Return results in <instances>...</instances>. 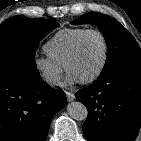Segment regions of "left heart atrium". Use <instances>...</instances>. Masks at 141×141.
<instances>
[{
	"label": "left heart atrium",
	"mask_w": 141,
	"mask_h": 141,
	"mask_svg": "<svg viewBox=\"0 0 141 141\" xmlns=\"http://www.w3.org/2000/svg\"><path fill=\"white\" fill-rule=\"evenodd\" d=\"M80 81L81 80L79 79V77L76 74H74L73 72H68L66 79H65V85H73Z\"/></svg>",
	"instance_id": "1"
}]
</instances>
